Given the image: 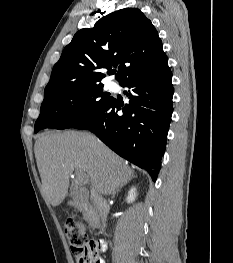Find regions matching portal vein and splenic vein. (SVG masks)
Listing matches in <instances>:
<instances>
[{"label":"portal vein and splenic vein","mask_w":233,"mask_h":263,"mask_svg":"<svg viewBox=\"0 0 233 263\" xmlns=\"http://www.w3.org/2000/svg\"><path fill=\"white\" fill-rule=\"evenodd\" d=\"M77 173V182L80 185H86L89 183V177L86 175V173L81 171H76Z\"/></svg>","instance_id":"18ae733b"}]
</instances>
